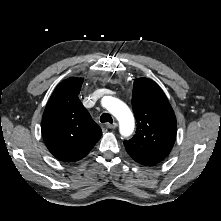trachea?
I'll use <instances>...</instances> for the list:
<instances>
[{"instance_id":"trachea-1","label":"trachea","mask_w":221,"mask_h":221,"mask_svg":"<svg viewBox=\"0 0 221 221\" xmlns=\"http://www.w3.org/2000/svg\"><path fill=\"white\" fill-rule=\"evenodd\" d=\"M100 121L102 123H111V124L113 123V119H112L111 115L108 113H103L100 117Z\"/></svg>"}]
</instances>
